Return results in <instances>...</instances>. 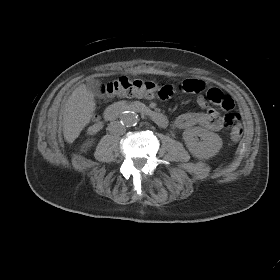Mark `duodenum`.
<instances>
[{
	"instance_id": "obj_1",
	"label": "duodenum",
	"mask_w": 280,
	"mask_h": 280,
	"mask_svg": "<svg viewBox=\"0 0 280 280\" xmlns=\"http://www.w3.org/2000/svg\"><path fill=\"white\" fill-rule=\"evenodd\" d=\"M126 111H135L138 113H142L145 116L149 117L151 120H153L160 127H165L168 125V119L164 114L138 102L117 103L111 105L105 110L104 118L107 121H113Z\"/></svg>"
}]
</instances>
